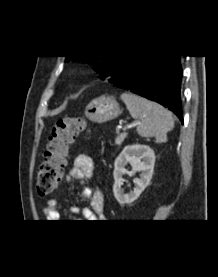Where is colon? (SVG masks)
<instances>
[{
  "label": "colon",
  "instance_id": "1",
  "mask_svg": "<svg viewBox=\"0 0 218 277\" xmlns=\"http://www.w3.org/2000/svg\"><path fill=\"white\" fill-rule=\"evenodd\" d=\"M88 128L87 121L81 116L65 117L57 121L47 145L45 160L38 170L36 188L40 196L50 194L57 187L70 145Z\"/></svg>",
  "mask_w": 218,
  "mask_h": 277
}]
</instances>
